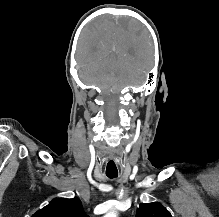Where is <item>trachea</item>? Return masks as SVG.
<instances>
[{
    "instance_id": "1",
    "label": "trachea",
    "mask_w": 219,
    "mask_h": 217,
    "mask_svg": "<svg viewBox=\"0 0 219 217\" xmlns=\"http://www.w3.org/2000/svg\"><path fill=\"white\" fill-rule=\"evenodd\" d=\"M108 178L113 179L118 176V172H106Z\"/></svg>"
}]
</instances>
